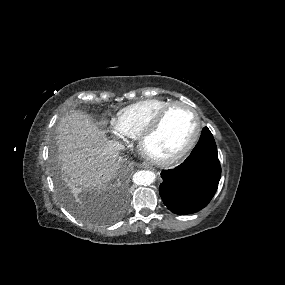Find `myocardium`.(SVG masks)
I'll return each mask as SVG.
<instances>
[{"mask_svg":"<svg viewBox=\"0 0 285 285\" xmlns=\"http://www.w3.org/2000/svg\"><path fill=\"white\" fill-rule=\"evenodd\" d=\"M175 107H184L187 110H189L196 121L195 131L191 137V139L188 141V143L180 149L178 152L173 154L172 156H169L167 158H156L145 150V144L146 141L157 132V130L160 128L162 122L164 121L165 117L168 115V113ZM202 132V121L201 117L198 113V111L192 107L191 105L184 103V102H172L167 107H165L162 111L158 113V115L145 127V129L141 132L139 136V148L142 153V155L147 158L151 163L161 166V167H167L171 166L175 163H177L179 160H181L183 157H185L197 144Z\"/></svg>","mask_w":285,"mask_h":285,"instance_id":"f54148a6","label":"myocardium"}]
</instances>
